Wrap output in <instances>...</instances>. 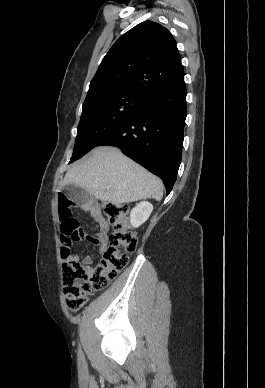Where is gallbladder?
<instances>
[{"label": "gallbladder", "instance_id": "1", "mask_svg": "<svg viewBox=\"0 0 265 388\" xmlns=\"http://www.w3.org/2000/svg\"><path fill=\"white\" fill-rule=\"evenodd\" d=\"M63 194H65L71 202H74L76 206L86 204V202H88L91 198V194H89V192H86V190L81 188V186H76V184H67V186H64Z\"/></svg>", "mask_w": 265, "mask_h": 388}]
</instances>
